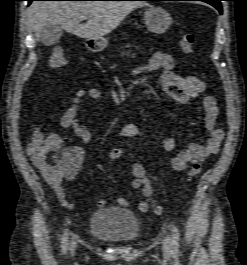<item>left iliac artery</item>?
<instances>
[{
    "mask_svg": "<svg viewBox=\"0 0 247 265\" xmlns=\"http://www.w3.org/2000/svg\"><path fill=\"white\" fill-rule=\"evenodd\" d=\"M180 234L177 227L172 226V252L174 255L178 254Z\"/></svg>",
    "mask_w": 247,
    "mask_h": 265,
    "instance_id": "obj_1",
    "label": "left iliac artery"
}]
</instances>
